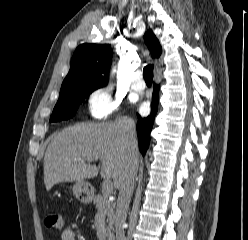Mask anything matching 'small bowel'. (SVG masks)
Here are the masks:
<instances>
[{"label":"small bowel","instance_id":"small-bowel-1","mask_svg":"<svg viewBox=\"0 0 248 240\" xmlns=\"http://www.w3.org/2000/svg\"><path fill=\"white\" fill-rule=\"evenodd\" d=\"M76 233L72 229H66L61 234V240H76Z\"/></svg>","mask_w":248,"mask_h":240}]
</instances>
